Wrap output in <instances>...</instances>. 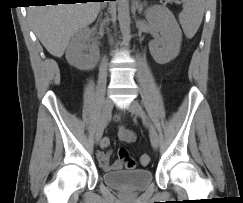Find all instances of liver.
<instances>
[{
	"label": "liver",
	"mask_w": 243,
	"mask_h": 203,
	"mask_svg": "<svg viewBox=\"0 0 243 203\" xmlns=\"http://www.w3.org/2000/svg\"><path fill=\"white\" fill-rule=\"evenodd\" d=\"M100 6V2L31 6L28 16L47 51L61 57L70 38L97 18Z\"/></svg>",
	"instance_id": "1"
}]
</instances>
